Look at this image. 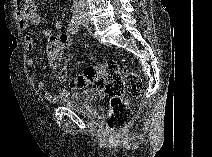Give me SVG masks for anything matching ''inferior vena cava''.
I'll return each instance as SVG.
<instances>
[{"instance_id":"inferior-vena-cava-1","label":"inferior vena cava","mask_w":212,"mask_h":157,"mask_svg":"<svg viewBox=\"0 0 212 157\" xmlns=\"http://www.w3.org/2000/svg\"><path fill=\"white\" fill-rule=\"evenodd\" d=\"M74 3H75L74 7L76 10H81V11L85 10L84 0H75Z\"/></svg>"}]
</instances>
